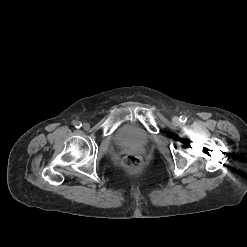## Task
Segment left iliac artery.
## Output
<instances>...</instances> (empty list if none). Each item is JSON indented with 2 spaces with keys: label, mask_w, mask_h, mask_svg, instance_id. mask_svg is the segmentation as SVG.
<instances>
[{
  "label": "left iliac artery",
  "mask_w": 247,
  "mask_h": 247,
  "mask_svg": "<svg viewBox=\"0 0 247 247\" xmlns=\"http://www.w3.org/2000/svg\"><path fill=\"white\" fill-rule=\"evenodd\" d=\"M180 121L181 122H186L187 121V117L184 116V115L180 116Z\"/></svg>",
  "instance_id": "obj_1"
}]
</instances>
